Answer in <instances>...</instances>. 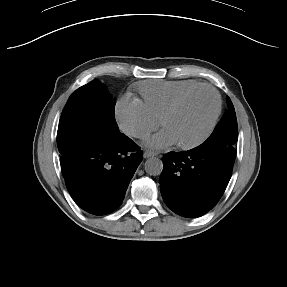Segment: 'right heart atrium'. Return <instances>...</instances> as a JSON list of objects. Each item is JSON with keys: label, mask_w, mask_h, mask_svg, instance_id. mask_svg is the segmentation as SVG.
<instances>
[{"label": "right heart atrium", "mask_w": 287, "mask_h": 287, "mask_svg": "<svg viewBox=\"0 0 287 287\" xmlns=\"http://www.w3.org/2000/svg\"><path fill=\"white\" fill-rule=\"evenodd\" d=\"M115 115L123 131L134 138H146L159 127V120L149 112L146 105L131 96L118 100Z\"/></svg>", "instance_id": "right-heart-atrium-1"}]
</instances>
